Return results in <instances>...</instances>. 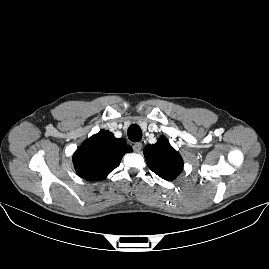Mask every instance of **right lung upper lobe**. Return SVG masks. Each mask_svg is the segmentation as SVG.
I'll list each match as a JSON object with an SVG mask.
<instances>
[{
  "label": "right lung upper lobe",
  "mask_w": 269,
  "mask_h": 269,
  "mask_svg": "<svg viewBox=\"0 0 269 269\" xmlns=\"http://www.w3.org/2000/svg\"><path fill=\"white\" fill-rule=\"evenodd\" d=\"M132 148L124 139H117L107 131L101 130L84 141L73 156L77 174L90 181L105 179L117 168L124 154Z\"/></svg>",
  "instance_id": "cb5924a9"
}]
</instances>
